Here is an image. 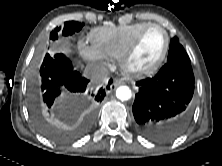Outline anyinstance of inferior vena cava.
Returning a JSON list of instances; mask_svg holds the SVG:
<instances>
[{
	"instance_id": "602c4592",
	"label": "inferior vena cava",
	"mask_w": 222,
	"mask_h": 166,
	"mask_svg": "<svg viewBox=\"0 0 222 166\" xmlns=\"http://www.w3.org/2000/svg\"><path fill=\"white\" fill-rule=\"evenodd\" d=\"M84 76L93 82H101L108 76V69L99 65H88L84 70Z\"/></svg>"
}]
</instances>
